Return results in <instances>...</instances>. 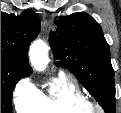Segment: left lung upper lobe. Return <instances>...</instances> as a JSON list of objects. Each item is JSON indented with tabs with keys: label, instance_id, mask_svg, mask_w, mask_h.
<instances>
[{
	"label": "left lung upper lobe",
	"instance_id": "5c2ea615",
	"mask_svg": "<svg viewBox=\"0 0 121 113\" xmlns=\"http://www.w3.org/2000/svg\"><path fill=\"white\" fill-rule=\"evenodd\" d=\"M51 31L56 65L70 69L108 113L115 112L114 71L100 25L88 14L60 16Z\"/></svg>",
	"mask_w": 121,
	"mask_h": 113
}]
</instances>
